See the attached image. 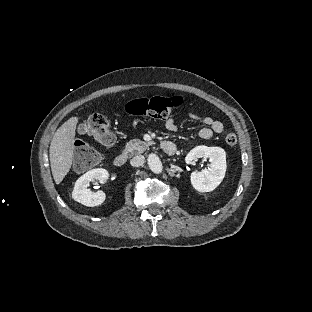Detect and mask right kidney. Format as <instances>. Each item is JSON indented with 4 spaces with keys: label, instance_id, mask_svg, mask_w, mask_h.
<instances>
[{
    "label": "right kidney",
    "instance_id": "ca27d5eb",
    "mask_svg": "<svg viewBox=\"0 0 312 312\" xmlns=\"http://www.w3.org/2000/svg\"><path fill=\"white\" fill-rule=\"evenodd\" d=\"M109 177V173L106 169L96 168L86 172L75 182V186L72 192V198L89 207H94L102 204L106 198L103 191L99 190L93 192L88 189L90 182L99 180L101 183L106 182Z\"/></svg>",
    "mask_w": 312,
    "mask_h": 312
}]
</instances>
